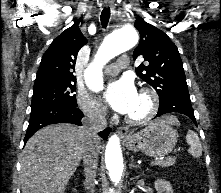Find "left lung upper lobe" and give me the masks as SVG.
Here are the masks:
<instances>
[{
	"label": "left lung upper lobe",
	"instance_id": "5c2ea615",
	"mask_svg": "<svg viewBox=\"0 0 221 193\" xmlns=\"http://www.w3.org/2000/svg\"><path fill=\"white\" fill-rule=\"evenodd\" d=\"M135 27L140 33V43L133 58L144 57L148 63H141L136 74L159 95L160 103L180 92L188 93L186 77L178 48L163 31L136 18Z\"/></svg>",
	"mask_w": 221,
	"mask_h": 193
}]
</instances>
